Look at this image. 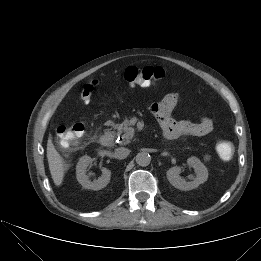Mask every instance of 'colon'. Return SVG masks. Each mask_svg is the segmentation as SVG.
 Masks as SVG:
<instances>
[{
    "label": "colon",
    "mask_w": 261,
    "mask_h": 261,
    "mask_svg": "<svg viewBox=\"0 0 261 261\" xmlns=\"http://www.w3.org/2000/svg\"><path fill=\"white\" fill-rule=\"evenodd\" d=\"M121 78L133 85L148 86L152 83L161 81L165 78V72L161 67H134L130 66L126 68ZM98 81L94 80L86 84L81 93L80 97L83 102L88 103L95 91ZM56 134L62 146L68 147L76 144L85 134V126L83 123H75L70 126H59L56 129ZM216 151L221 159L229 161L234 156V145L227 140H221L216 145Z\"/></svg>",
    "instance_id": "colon-1"
}]
</instances>
